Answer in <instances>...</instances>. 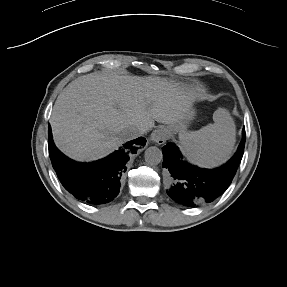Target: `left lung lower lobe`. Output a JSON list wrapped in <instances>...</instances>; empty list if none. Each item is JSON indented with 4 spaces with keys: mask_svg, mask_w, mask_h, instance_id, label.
Returning <instances> with one entry per match:
<instances>
[{
    "mask_svg": "<svg viewBox=\"0 0 287 287\" xmlns=\"http://www.w3.org/2000/svg\"><path fill=\"white\" fill-rule=\"evenodd\" d=\"M244 145L245 130L238 151L231 160L220 168L206 170L183 162L176 145L168 143L162 148V166L167 170L168 196L175 202L189 207L216 199L230 185L242 159Z\"/></svg>",
    "mask_w": 287,
    "mask_h": 287,
    "instance_id": "0a47b994",
    "label": "left lung lower lobe"
}]
</instances>
